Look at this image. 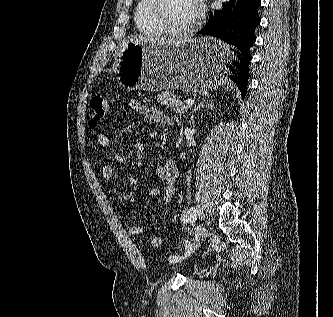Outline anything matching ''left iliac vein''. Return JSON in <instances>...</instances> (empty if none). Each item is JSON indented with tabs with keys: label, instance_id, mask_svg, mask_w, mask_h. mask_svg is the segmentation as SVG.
Returning <instances> with one entry per match:
<instances>
[{
	"label": "left iliac vein",
	"instance_id": "obj_1",
	"mask_svg": "<svg viewBox=\"0 0 333 317\" xmlns=\"http://www.w3.org/2000/svg\"><path fill=\"white\" fill-rule=\"evenodd\" d=\"M207 236H208L207 228L203 225H199L195 231V238L191 253L195 251V249L206 239Z\"/></svg>",
	"mask_w": 333,
	"mask_h": 317
}]
</instances>
